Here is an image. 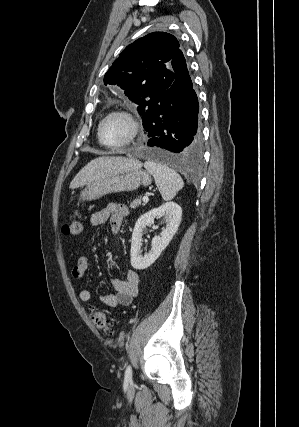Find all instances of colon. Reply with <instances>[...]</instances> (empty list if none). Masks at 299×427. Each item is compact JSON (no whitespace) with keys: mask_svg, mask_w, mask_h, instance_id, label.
I'll use <instances>...</instances> for the list:
<instances>
[{"mask_svg":"<svg viewBox=\"0 0 299 427\" xmlns=\"http://www.w3.org/2000/svg\"><path fill=\"white\" fill-rule=\"evenodd\" d=\"M83 224L80 214L76 212L75 217L62 227L65 235L78 236L82 233ZM91 318L97 329L105 335H111L112 329L107 316L101 311H93Z\"/></svg>","mask_w":299,"mask_h":427,"instance_id":"colon-1","label":"colon"}]
</instances>
